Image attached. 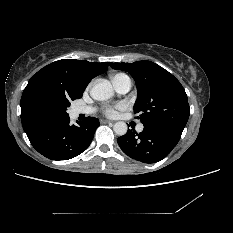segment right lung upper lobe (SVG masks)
<instances>
[{
    "label": "right lung upper lobe",
    "mask_w": 233,
    "mask_h": 233,
    "mask_svg": "<svg viewBox=\"0 0 233 233\" xmlns=\"http://www.w3.org/2000/svg\"><path fill=\"white\" fill-rule=\"evenodd\" d=\"M109 64L62 59L34 74L23 91L20 103L22 126L27 136L64 120L54 109V102L82 97L91 79L105 72Z\"/></svg>",
    "instance_id": "right-lung-upper-lobe-1"
}]
</instances>
